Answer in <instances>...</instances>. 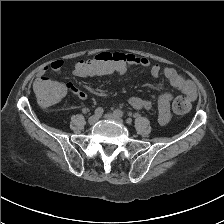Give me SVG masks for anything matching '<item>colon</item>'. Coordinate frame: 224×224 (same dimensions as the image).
Here are the masks:
<instances>
[{
	"label": "colon",
	"instance_id": "1",
	"mask_svg": "<svg viewBox=\"0 0 224 224\" xmlns=\"http://www.w3.org/2000/svg\"><path fill=\"white\" fill-rule=\"evenodd\" d=\"M87 77L108 76L123 74L127 70L124 61L116 53H101L89 60H81L76 67ZM66 86L45 77L37 80L34 92L43 107H50L60 101L66 93ZM173 112L177 115H185L192 109L191 100L184 96H178L172 104Z\"/></svg>",
	"mask_w": 224,
	"mask_h": 224
}]
</instances>
